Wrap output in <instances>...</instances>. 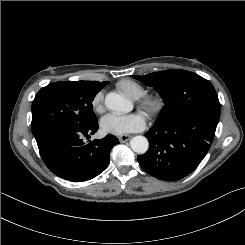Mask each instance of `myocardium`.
<instances>
[{
    "instance_id": "f54148a6",
    "label": "myocardium",
    "mask_w": 245,
    "mask_h": 245,
    "mask_svg": "<svg viewBox=\"0 0 245 245\" xmlns=\"http://www.w3.org/2000/svg\"><path fill=\"white\" fill-rule=\"evenodd\" d=\"M137 105L149 119H154L163 112L165 100L158 93H149L138 98Z\"/></svg>"
}]
</instances>
